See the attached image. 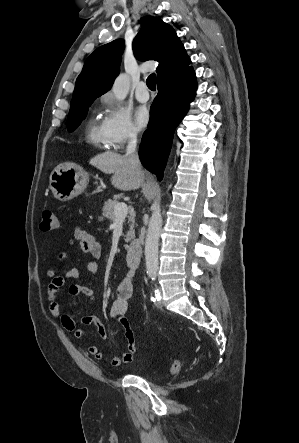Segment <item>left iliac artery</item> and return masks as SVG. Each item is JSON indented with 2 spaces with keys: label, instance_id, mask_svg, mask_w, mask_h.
I'll return each instance as SVG.
<instances>
[{
  "label": "left iliac artery",
  "instance_id": "44dca946",
  "mask_svg": "<svg viewBox=\"0 0 299 443\" xmlns=\"http://www.w3.org/2000/svg\"><path fill=\"white\" fill-rule=\"evenodd\" d=\"M156 274H153L152 276V280H155ZM155 294H156V299L159 301L161 299L160 296V292L158 291V289L155 290Z\"/></svg>",
  "mask_w": 299,
  "mask_h": 443
}]
</instances>
